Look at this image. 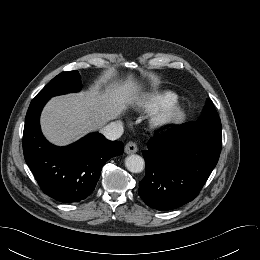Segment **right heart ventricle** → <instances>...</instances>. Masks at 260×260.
<instances>
[{
  "label": "right heart ventricle",
  "instance_id": "obj_1",
  "mask_svg": "<svg viewBox=\"0 0 260 260\" xmlns=\"http://www.w3.org/2000/svg\"><path fill=\"white\" fill-rule=\"evenodd\" d=\"M175 100L177 95L171 91L156 92L143 97L138 106L144 111L151 112Z\"/></svg>",
  "mask_w": 260,
  "mask_h": 260
}]
</instances>
